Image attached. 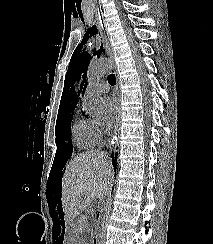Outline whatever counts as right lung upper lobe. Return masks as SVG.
<instances>
[{
  "label": "right lung upper lobe",
  "mask_w": 213,
  "mask_h": 244,
  "mask_svg": "<svg viewBox=\"0 0 213 244\" xmlns=\"http://www.w3.org/2000/svg\"><path fill=\"white\" fill-rule=\"evenodd\" d=\"M77 101H78V97H77V94L75 93L74 98H72L70 100V102L68 104H66V106H61L59 108L58 116H61L69 111L74 110L76 107Z\"/></svg>",
  "instance_id": "cb5924a9"
}]
</instances>
